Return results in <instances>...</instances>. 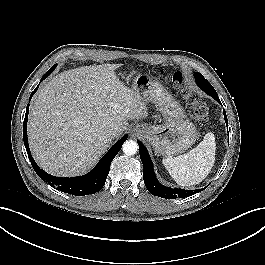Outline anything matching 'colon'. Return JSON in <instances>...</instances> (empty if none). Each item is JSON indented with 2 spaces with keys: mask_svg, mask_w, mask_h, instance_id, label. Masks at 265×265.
I'll return each instance as SVG.
<instances>
[{
  "mask_svg": "<svg viewBox=\"0 0 265 265\" xmlns=\"http://www.w3.org/2000/svg\"><path fill=\"white\" fill-rule=\"evenodd\" d=\"M173 85L180 90L181 94L190 105L193 118L199 123H205L209 116V108L207 104L197 99L193 93L184 86L183 75L180 72H175L170 75Z\"/></svg>",
  "mask_w": 265,
  "mask_h": 265,
  "instance_id": "colon-1",
  "label": "colon"
}]
</instances>
